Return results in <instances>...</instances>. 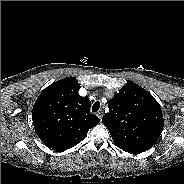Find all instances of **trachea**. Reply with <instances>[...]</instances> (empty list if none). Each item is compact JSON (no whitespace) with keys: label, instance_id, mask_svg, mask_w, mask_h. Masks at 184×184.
Instances as JSON below:
<instances>
[{"label":"trachea","instance_id":"obj_1","mask_svg":"<svg viewBox=\"0 0 184 184\" xmlns=\"http://www.w3.org/2000/svg\"><path fill=\"white\" fill-rule=\"evenodd\" d=\"M100 108V102L96 101L92 106V112H97Z\"/></svg>","mask_w":184,"mask_h":184}]
</instances>
